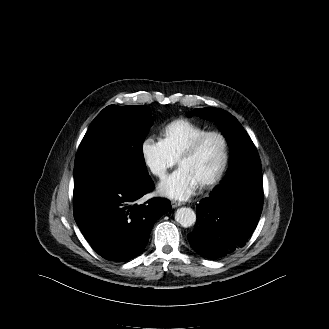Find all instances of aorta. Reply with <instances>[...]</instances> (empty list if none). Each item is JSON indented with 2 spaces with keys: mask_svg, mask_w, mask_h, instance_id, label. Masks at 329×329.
Listing matches in <instances>:
<instances>
[{
  "mask_svg": "<svg viewBox=\"0 0 329 329\" xmlns=\"http://www.w3.org/2000/svg\"><path fill=\"white\" fill-rule=\"evenodd\" d=\"M175 220L182 226V227H190L196 222V214L195 212L188 207H181L177 209L175 213Z\"/></svg>",
  "mask_w": 329,
  "mask_h": 329,
  "instance_id": "aorta-1",
  "label": "aorta"
}]
</instances>
